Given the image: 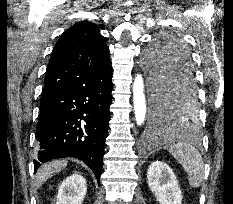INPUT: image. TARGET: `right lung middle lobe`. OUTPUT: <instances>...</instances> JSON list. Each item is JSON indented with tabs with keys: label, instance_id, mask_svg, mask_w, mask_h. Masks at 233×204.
I'll return each mask as SVG.
<instances>
[{
	"label": "right lung middle lobe",
	"instance_id": "dd1d6c3e",
	"mask_svg": "<svg viewBox=\"0 0 233 204\" xmlns=\"http://www.w3.org/2000/svg\"><path fill=\"white\" fill-rule=\"evenodd\" d=\"M52 117L50 115H40L37 123L36 134L42 132L51 122Z\"/></svg>",
	"mask_w": 233,
	"mask_h": 204
}]
</instances>
